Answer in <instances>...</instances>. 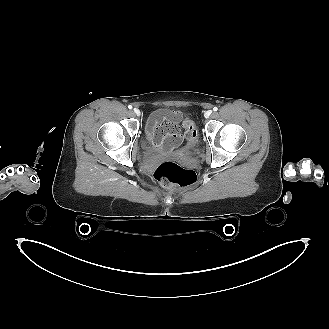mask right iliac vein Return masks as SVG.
<instances>
[{
  "label": "right iliac vein",
  "mask_w": 329,
  "mask_h": 329,
  "mask_svg": "<svg viewBox=\"0 0 329 329\" xmlns=\"http://www.w3.org/2000/svg\"><path fill=\"white\" fill-rule=\"evenodd\" d=\"M133 111L137 116H140L141 112L139 109L135 108Z\"/></svg>",
  "instance_id": "obj_1"
}]
</instances>
